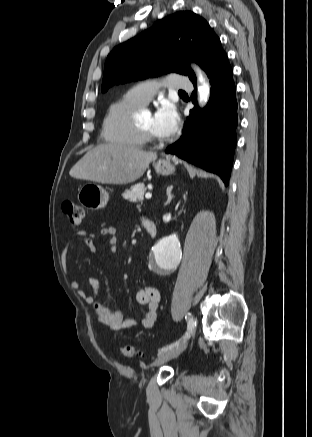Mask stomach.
I'll list each match as a JSON object with an SVG mask.
<instances>
[{"label": "stomach", "mask_w": 312, "mask_h": 437, "mask_svg": "<svg viewBox=\"0 0 312 437\" xmlns=\"http://www.w3.org/2000/svg\"><path fill=\"white\" fill-rule=\"evenodd\" d=\"M153 166L156 173L162 176H168L175 172V165L169 156L159 159ZM78 200L85 208L96 211L105 208L109 201V194L99 184L88 182L80 188Z\"/></svg>", "instance_id": "obj_1"}]
</instances>
